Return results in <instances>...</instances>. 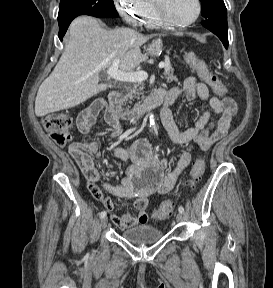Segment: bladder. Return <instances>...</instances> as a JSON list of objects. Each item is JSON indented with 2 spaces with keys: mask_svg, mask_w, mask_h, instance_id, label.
<instances>
[{
  "mask_svg": "<svg viewBox=\"0 0 273 288\" xmlns=\"http://www.w3.org/2000/svg\"><path fill=\"white\" fill-rule=\"evenodd\" d=\"M163 236L161 229L149 225H138L121 233V237L132 244L146 245L158 241Z\"/></svg>",
  "mask_w": 273,
  "mask_h": 288,
  "instance_id": "bladder-1",
  "label": "bladder"
}]
</instances>
